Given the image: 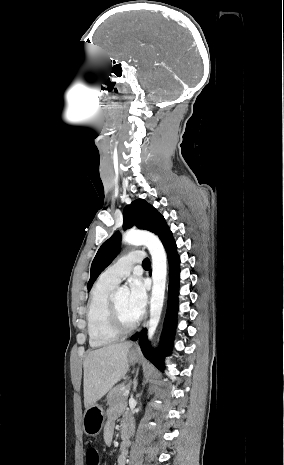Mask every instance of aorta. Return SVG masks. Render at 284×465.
Instances as JSON below:
<instances>
[{
    "mask_svg": "<svg viewBox=\"0 0 284 465\" xmlns=\"http://www.w3.org/2000/svg\"><path fill=\"white\" fill-rule=\"evenodd\" d=\"M123 241L133 245H145L151 254L153 287L147 333L148 338L151 340L158 326L163 308L167 275L166 253L159 238L150 232L130 230L124 234ZM127 292L128 289L123 287L119 289L118 295H123Z\"/></svg>",
    "mask_w": 284,
    "mask_h": 465,
    "instance_id": "obj_1",
    "label": "aorta"
}]
</instances>
